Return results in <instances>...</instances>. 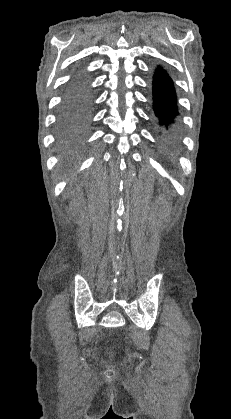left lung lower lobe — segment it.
I'll list each match as a JSON object with an SVG mask.
<instances>
[{"instance_id": "0a47b994", "label": "left lung lower lobe", "mask_w": 231, "mask_h": 419, "mask_svg": "<svg viewBox=\"0 0 231 419\" xmlns=\"http://www.w3.org/2000/svg\"><path fill=\"white\" fill-rule=\"evenodd\" d=\"M153 109L165 148L171 150L178 141V108L173 81L161 68L153 77Z\"/></svg>"}]
</instances>
